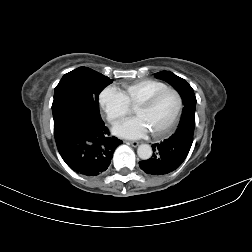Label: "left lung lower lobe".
Masks as SVG:
<instances>
[{"label":"left lung lower lobe","mask_w":252,"mask_h":252,"mask_svg":"<svg viewBox=\"0 0 252 252\" xmlns=\"http://www.w3.org/2000/svg\"><path fill=\"white\" fill-rule=\"evenodd\" d=\"M196 100L186 102L185 113L181 116L174 134L164 141L153 144L150 159L140 161V168L147 174L163 175L176 170L187 157L193 143L195 129Z\"/></svg>","instance_id":"0a47b994"}]
</instances>
